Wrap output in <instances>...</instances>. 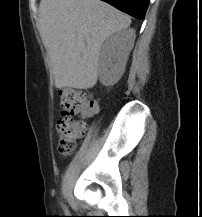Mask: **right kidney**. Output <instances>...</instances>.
Masks as SVG:
<instances>
[{"label": "right kidney", "mask_w": 202, "mask_h": 217, "mask_svg": "<svg viewBox=\"0 0 202 217\" xmlns=\"http://www.w3.org/2000/svg\"><path fill=\"white\" fill-rule=\"evenodd\" d=\"M135 30L124 29L107 38L99 58V80L104 86H112L123 75L130 51L134 46Z\"/></svg>", "instance_id": "ca27d5eb"}]
</instances>
